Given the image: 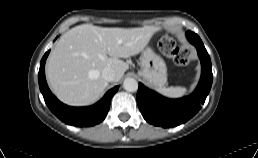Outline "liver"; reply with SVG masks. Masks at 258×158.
Listing matches in <instances>:
<instances>
[{
    "instance_id": "1",
    "label": "liver",
    "mask_w": 258,
    "mask_h": 158,
    "mask_svg": "<svg viewBox=\"0 0 258 158\" xmlns=\"http://www.w3.org/2000/svg\"><path fill=\"white\" fill-rule=\"evenodd\" d=\"M158 28H103L83 24L68 30L54 46L46 77L54 94L64 103L85 106L95 102L108 82L104 68H112L119 81L129 65L120 58L139 54Z\"/></svg>"
}]
</instances>
